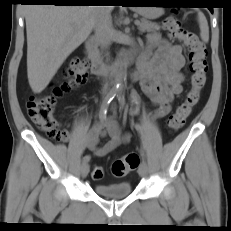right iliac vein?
Listing matches in <instances>:
<instances>
[{
    "label": "right iliac vein",
    "instance_id": "obj_1",
    "mask_svg": "<svg viewBox=\"0 0 231 231\" xmlns=\"http://www.w3.org/2000/svg\"><path fill=\"white\" fill-rule=\"evenodd\" d=\"M89 170H90L89 164L88 163H83L82 166H81V176L83 178H85L88 175Z\"/></svg>",
    "mask_w": 231,
    "mask_h": 231
}]
</instances>
